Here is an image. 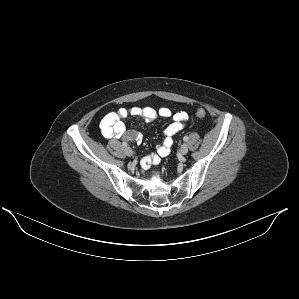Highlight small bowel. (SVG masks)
<instances>
[{
	"mask_svg": "<svg viewBox=\"0 0 299 299\" xmlns=\"http://www.w3.org/2000/svg\"><path fill=\"white\" fill-rule=\"evenodd\" d=\"M129 115L143 118L145 120H154L158 116L163 118H172V122L164 129V139L157 146L156 151L141 161L142 169L146 170L151 166L160 164L161 160L171 154L174 143L173 137L181 131L187 120V114L183 111L173 114L170 109L163 107L155 110L151 107H133L131 109L119 108L108 113L101 121L102 134L106 138L122 139L127 142H141L142 135L137 130H127L122 118Z\"/></svg>",
	"mask_w": 299,
	"mask_h": 299,
	"instance_id": "c3829d8e",
	"label": "small bowel"
}]
</instances>
